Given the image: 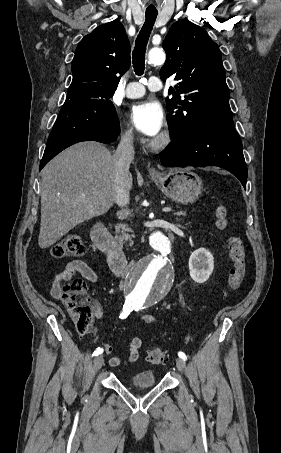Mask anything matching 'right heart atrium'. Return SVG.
Instances as JSON below:
<instances>
[{
  "label": "right heart atrium",
  "instance_id": "d8ad5b80",
  "mask_svg": "<svg viewBox=\"0 0 281 453\" xmlns=\"http://www.w3.org/2000/svg\"><path fill=\"white\" fill-rule=\"evenodd\" d=\"M120 137L124 143H131L136 137V131L129 124H124L120 128Z\"/></svg>",
  "mask_w": 281,
  "mask_h": 453
}]
</instances>
